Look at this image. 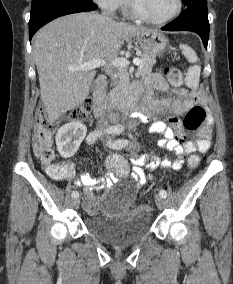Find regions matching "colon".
<instances>
[{
	"label": "colon",
	"instance_id": "1",
	"mask_svg": "<svg viewBox=\"0 0 233 284\" xmlns=\"http://www.w3.org/2000/svg\"><path fill=\"white\" fill-rule=\"evenodd\" d=\"M165 75L169 83L173 86H180L183 82V76L179 69L169 67L165 69ZM93 102L88 99L79 107L73 109L70 113V119L75 122L86 121L93 109ZM206 120V111L201 105L191 107L184 119L183 126L186 130L194 131L200 128ZM57 124L50 120L44 108H39L36 114V123L34 127V152L39 161L43 164H49L54 159V151L52 148L53 135L56 132ZM199 164L197 155H190L188 165L196 167ZM107 168L113 173L117 179L126 177L129 173V165L127 161L119 155H111L106 161ZM140 209L143 211H151L152 207L148 202H144Z\"/></svg>",
	"mask_w": 233,
	"mask_h": 284
}]
</instances>
